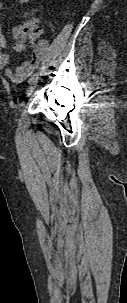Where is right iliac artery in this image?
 <instances>
[{
	"mask_svg": "<svg viewBox=\"0 0 127 303\" xmlns=\"http://www.w3.org/2000/svg\"><path fill=\"white\" fill-rule=\"evenodd\" d=\"M39 76V73L36 72L32 75V77L29 79V84L33 83Z\"/></svg>",
	"mask_w": 127,
	"mask_h": 303,
	"instance_id": "82829eb1",
	"label": "right iliac artery"
}]
</instances>
